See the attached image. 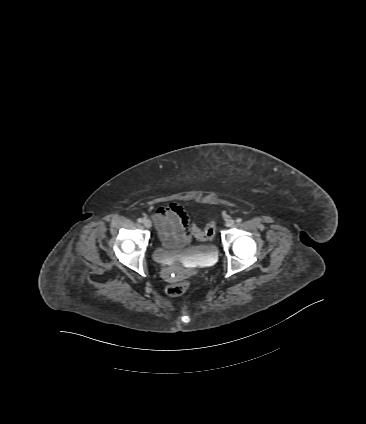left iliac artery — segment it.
I'll list each match as a JSON object with an SVG mask.
<instances>
[{"instance_id": "obj_1", "label": "left iliac artery", "mask_w": 366, "mask_h": 424, "mask_svg": "<svg viewBox=\"0 0 366 424\" xmlns=\"http://www.w3.org/2000/svg\"><path fill=\"white\" fill-rule=\"evenodd\" d=\"M236 222H237V223H241V222H242V219H241V218H237V219H236Z\"/></svg>"}]
</instances>
